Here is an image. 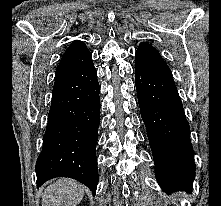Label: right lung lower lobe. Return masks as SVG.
<instances>
[{
    "instance_id": "98d812e1",
    "label": "right lung lower lobe",
    "mask_w": 221,
    "mask_h": 206,
    "mask_svg": "<svg viewBox=\"0 0 221 206\" xmlns=\"http://www.w3.org/2000/svg\"><path fill=\"white\" fill-rule=\"evenodd\" d=\"M99 93L93 62L54 83L43 148L36 162L38 187L52 178L70 177L95 193Z\"/></svg>"
}]
</instances>
